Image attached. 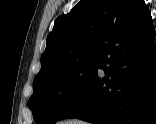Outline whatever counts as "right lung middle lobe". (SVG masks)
Here are the masks:
<instances>
[{
	"label": "right lung middle lobe",
	"mask_w": 156,
	"mask_h": 124,
	"mask_svg": "<svg viewBox=\"0 0 156 124\" xmlns=\"http://www.w3.org/2000/svg\"><path fill=\"white\" fill-rule=\"evenodd\" d=\"M101 59L61 67L34 79L29 107L38 124H54L76 102L97 75Z\"/></svg>",
	"instance_id": "right-lung-middle-lobe-1"
}]
</instances>
